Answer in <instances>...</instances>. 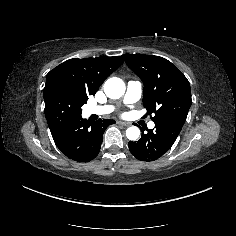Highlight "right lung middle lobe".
<instances>
[{"instance_id":"dd1d6c3e","label":"right lung middle lobe","mask_w":236,"mask_h":236,"mask_svg":"<svg viewBox=\"0 0 236 236\" xmlns=\"http://www.w3.org/2000/svg\"><path fill=\"white\" fill-rule=\"evenodd\" d=\"M45 116L50 130L60 127L66 121L81 115V106L87 98L75 92L67 83L54 81L45 84Z\"/></svg>"}]
</instances>
